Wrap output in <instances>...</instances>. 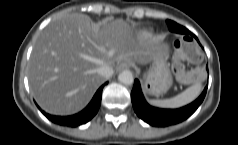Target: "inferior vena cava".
Returning a JSON list of instances; mask_svg holds the SVG:
<instances>
[{"label": "inferior vena cava", "mask_w": 238, "mask_h": 145, "mask_svg": "<svg viewBox=\"0 0 238 145\" xmlns=\"http://www.w3.org/2000/svg\"><path fill=\"white\" fill-rule=\"evenodd\" d=\"M98 74L104 77L105 79L110 78L113 75V69L112 67L108 65H103L98 68L97 70Z\"/></svg>", "instance_id": "inferior-vena-cava-1"}]
</instances>
